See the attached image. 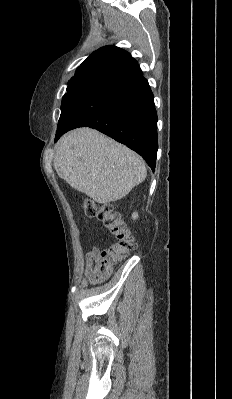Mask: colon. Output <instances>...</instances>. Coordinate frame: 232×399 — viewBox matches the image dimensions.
<instances>
[{
	"label": "colon",
	"mask_w": 232,
	"mask_h": 399,
	"mask_svg": "<svg viewBox=\"0 0 232 399\" xmlns=\"http://www.w3.org/2000/svg\"><path fill=\"white\" fill-rule=\"evenodd\" d=\"M81 201V219H91V216H97V204L89 199ZM114 201H109L103 206V202H98V219L102 220V225H106V231L112 233V247L101 251V247H96V264H98L99 277H104L113 269V257L117 260L129 258V251L137 249V240L131 235V224L121 221V216L114 218ZM126 228V237H125Z\"/></svg>",
	"instance_id": "obj_1"
}]
</instances>
